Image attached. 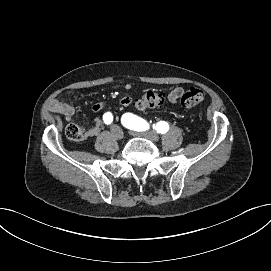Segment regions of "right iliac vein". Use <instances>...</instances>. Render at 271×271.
Wrapping results in <instances>:
<instances>
[{"label":"right iliac vein","instance_id":"63e3f726","mask_svg":"<svg viewBox=\"0 0 271 271\" xmlns=\"http://www.w3.org/2000/svg\"><path fill=\"white\" fill-rule=\"evenodd\" d=\"M111 132L113 134V136L117 139V140H121L124 137V132L122 131V129L118 126H113L111 129Z\"/></svg>","mask_w":271,"mask_h":271}]
</instances>
